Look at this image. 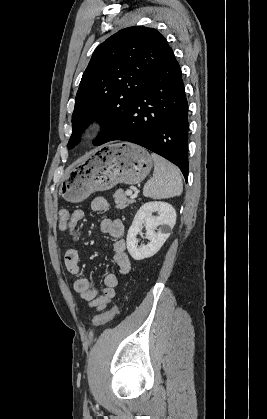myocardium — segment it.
Here are the masks:
<instances>
[{
	"label": "myocardium",
	"mask_w": 267,
	"mask_h": 419,
	"mask_svg": "<svg viewBox=\"0 0 267 419\" xmlns=\"http://www.w3.org/2000/svg\"><path fill=\"white\" fill-rule=\"evenodd\" d=\"M99 126V123L97 120H92L90 121L84 128V133L86 135L91 134L92 132H94Z\"/></svg>",
	"instance_id": "myocardium-1"
}]
</instances>
